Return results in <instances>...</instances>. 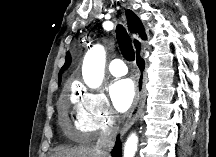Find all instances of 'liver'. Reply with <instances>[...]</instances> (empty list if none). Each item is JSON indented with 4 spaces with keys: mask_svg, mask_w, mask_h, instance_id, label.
<instances>
[{
    "mask_svg": "<svg viewBox=\"0 0 216 157\" xmlns=\"http://www.w3.org/2000/svg\"><path fill=\"white\" fill-rule=\"evenodd\" d=\"M53 157H100L95 147L80 146L71 149H64L54 154Z\"/></svg>",
    "mask_w": 216,
    "mask_h": 157,
    "instance_id": "1",
    "label": "liver"
}]
</instances>
